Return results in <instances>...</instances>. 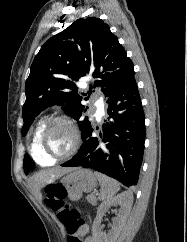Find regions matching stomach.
<instances>
[{"instance_id":"1","label":"stomach","mask_w":187,"mask_h":242,"mask_svg":"<svg viewBox=\"0 0 187 242\" xmlns=\"http://www.w3.org/2000/svg\"><path fill=\"white\" fill-rule=\"evenodd\" d=\"M60 184L67 191V195L72 201L81 198L83 192H91L97 186V179L92 171L83 168H75L65 175Z\"/></svg>"}]
</instances>
